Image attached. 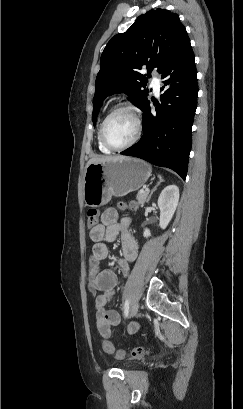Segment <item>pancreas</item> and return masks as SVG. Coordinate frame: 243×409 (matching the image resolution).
I'll return each mask as SVG.
<instances>
[{
    "instance_id": "obj_1",
    "label": "pancreas",
    "mask_w": 243,
    "mask_h": 409,
    "mask_svg": "<svg viewBox=\"0 0 243 409\" xmlns=\"http://www.w3.org/2000/svg\"><path fill=\"white\" fill-rule=\"evenodd\" d=\"M136 199L139 205H144V203L148 200V192L146 191H139L136 195Z\"/></svg>"
}]
</instances>
